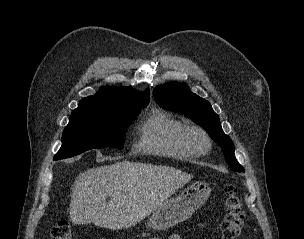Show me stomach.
Returning <instances> with one entry per match:
<instances>
[{
    "mask_svg": "<svg viewBox=\"0 0 304 239\" xmlns=\"http://www.w3.org/2000/svg\"><path fill=\"white\" fill-rule=\"evenodd\" d=\"M211 188L205 182H195L179 196L165 200L148 218L147 228L166 230L187 220L208 199Z\"/></svg>",
    "mask_w": 304,
    "mask_h": 239,
    "instance_id": "stomach-1",
    "label": "stomach"
}]
</instances>
